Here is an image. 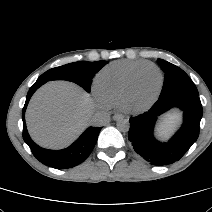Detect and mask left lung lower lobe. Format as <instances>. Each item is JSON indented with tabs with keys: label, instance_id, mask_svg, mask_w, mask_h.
<instances>
[{
	"label": "left lung lower lobe",
	"instance_id": "obj_1",
	"mask_svg": "<svg viewBox=\"0 0 212 212\" xmlns=\"http://www.w3.org/2000/svg\"><path fill=\"white\" fill-rule=\"evenodd\" d=\"M178 107L183 111V124L168 141L155 139L153 130L157 118L167 110ZM203 109L199 95L175 93L157 102L147 112L130 118L128 139L136 153L152 165L163 166L178 161L199 136Z\"/></svg>",
	"mask_w": 212,
	"mask_h": 212
}]
</instances>
